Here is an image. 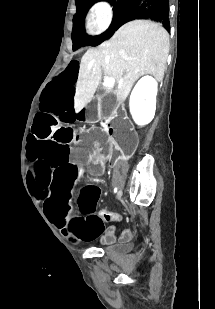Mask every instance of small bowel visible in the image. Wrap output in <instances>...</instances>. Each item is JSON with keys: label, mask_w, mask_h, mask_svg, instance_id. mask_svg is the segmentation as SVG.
I'll return each instance as SVG.
<instances>
[{"label": "small bowel", "mask_w": 215, "mask_h": 309, "mask_svg": "<svg viewBox=\"0 0 215 309\" xmlns=\"http://www.w3.org/2000/svg\"><path fill=\"white\" fill-rule=\"evenodd\" d=\"M127 239H128V235H124L123 240H127Z\"/></svg>", "instance_id": "obj_1"}]
</instances>
